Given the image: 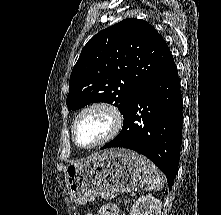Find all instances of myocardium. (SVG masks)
<instances>
[{
    "label": "myocardium",
    "instance_id": "myocardium-1",
    "mask_svg": "<svg viewBox=\"0 0 221 215\" xmlns=\"http://www.w3.org/2000/svg\"><path fill=\"white\" fill-rule=\"evenodd\" d=\"M94 109H102L109 114V116L111 118V122H112L111 129L98 142H96L92 145H89V146H83L77 141L76 126H77V123L80 120V118L85 113H87L88 111L94 110ZM123 123H124L123 115H122L121 111L119 110V108L115 104L108 102V101H94V102H91V103L85 105L83 108H81L80 111L75 116L72 126H71L72 139H73L75 145L79 148L86 149V150L95 149V148H98V147L110 142L111 140H113L120 133V131L123 127Z\"/></svg>",
    "mask_w": 221,
    "mask_h": 215
}]
</instances>
